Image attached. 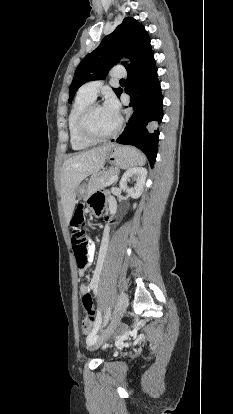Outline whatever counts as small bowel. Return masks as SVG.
I'll use <instances>...</instances> for the list:
<instances>
[{
  "label": "small bowel",
  "mask_w": 233,
  "mask_h": 414,
  "mask_svg": "<svg viewBox=\"0 0 233 414\" xmlns=\"http://www.w3.org/2000/svg\"><path fill=\"white\" fill-rule=\"evenodd\" d=\"M90 205H91V208L95 212H97V213L100 212V210L102 209V206H103V196H102V194L96 193L95 195H93L92 198L90 199ZM109 209H110V214H109L107 220L111 221L112 214L114 213V210H115V204H114L113 201H109ZM94 256H95V247L92 243H88V264L84 268L78 267L80 275L85 274L87 268L92 263V261L94 259ZM103 261H104V252H101L99 254L96 269L93 273L91 281L89 283H82L80 285V290L83 294L86 293V292H89V293L93 292L94 294H96L97 287H98V282H99V277H100V273H101L102 266H103ZM95 324H96V321H95ZM95 324H94V328L92 329V331L88 335L89 340H93L94 337H95V334L97 332V327L95 326Z\"/></svg>",
  "instance_id": "1"
}]
</instances>
